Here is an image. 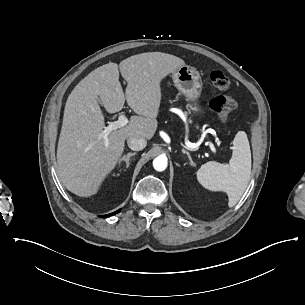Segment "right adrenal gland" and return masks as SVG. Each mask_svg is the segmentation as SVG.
I'll use <instances>...</instances> for the list:
<instances>
[{"label": "right adrenal gland", "instance_id": "obj_1", "mask_svg": "<svg viewBox=\"0 0 305 305\" xmlns=\"http://www.w3.org/2000/svg\"><path fill=\"white\" fill-rule=\"evenodd\" d=\"M136 155V152L134 153H128L127 155H124L120 160H119V164L121 161H125L126 162V168L129 167V160H130V157L131 156H134Z\"/></svg>", "mask_w": 305, "mask_h": 305}]
</instances>
